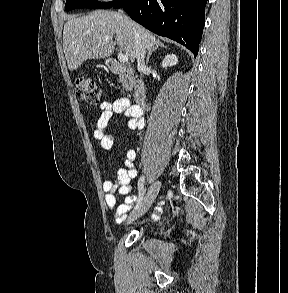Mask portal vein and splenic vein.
Masks as SVG:
<instances>
[{
	"label": "portal vein and splenic vein",
	"instance_id": "portal-vein-and-splenic-vein-1",
	"mask_svg": "<svg viewBox=\"0 0 288 293\" xmlns=\"http://www.w3.org/2000/svg\"><path fill=\"white\" fill-rule=\"evenodd\" d=\"M105 40H107V38H106ZM128 59H129L128 54H126V53H119V55H118V60H119L120 62H123V63H124V62H127Z\"/></svg>",
	"mask_w": 288,
	"mask_h": 293
}]
</instances>
